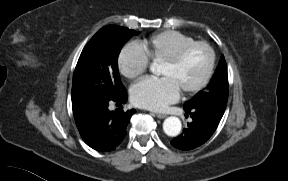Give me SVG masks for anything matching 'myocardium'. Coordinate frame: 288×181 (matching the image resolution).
Segmentation results:
<instances>
[{
    "instance_id": "myocardium-1",
    "label": "myocardium",
    "mask_w": 288,
    "mask_h": 181,
    "mask_svg": "<svg viewBox=\"0 0 288 181\" xmlns=\"http://www.w3.org/2000/svg\"><path fill=\"white\" fill-rule=\"evenodd\" d=\"M195 47H204L209 51L210 54V62H209V66L208 69L204 75V77L202 78V80L197 83L196 85H194L193 87H190L188 89L182 90V93L184 95H190V94H194L196 92H199L200 90H202L211 80L212 75L214 73V69H215V65H216V52L214 50V48L205 41H194L188 45L183 46L182 48H180L178 51H176L172 56L163 59L160 63H164L166 65H170V66H174L177 65L184 57L185 55L191 51L192 49H194Z\"/></svg>"
}]
</instances>
